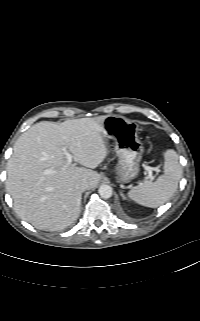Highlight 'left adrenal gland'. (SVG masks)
<instances>
[{"label":"left adrenal gland","instance_id":"obj_1","mask_svg":"<svg viewBox=\"0 0 200 321\" xmlns=\"http://www.w3.org/2000/svg\"><path fill=\"white\" fill-rule=\"evenodd\" d=\"M120 195L123 198V200H126V197L124 196V194L120 191Z\"/></svg>","mask_w":200,"mask_h":321}]
</instances>
